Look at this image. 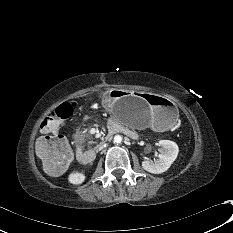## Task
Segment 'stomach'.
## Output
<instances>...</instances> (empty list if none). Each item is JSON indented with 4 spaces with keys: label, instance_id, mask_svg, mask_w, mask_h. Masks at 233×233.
<instances>
[{
    "label": "stomach",
    "instance_id": "0dacf381",
    "mask_svg": "<svg viewBox=\"0 0 233 233\" xmlns=\"http://www.w3.org/2000/svg\"><path fill=\"white\" fill-rule=\"evenodd\" d=\"M103 106L120 123L137 129L153 127L163 130L178 119L176 104L156 94L113 89L105 94Z\"/></svg>",
    "mask_w": 233,
    "mask_h": 233
}]
</instances>
